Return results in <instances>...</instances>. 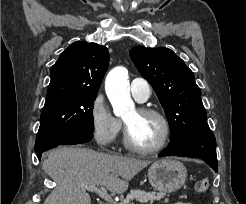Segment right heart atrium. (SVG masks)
<instances>
[{"instance_id": "1", "label": "right heart atrium", "mask_w": 246, "mask_h": 204, "mask_svg": "<svg viewBox=\"0 0 246 204\" xmlns=\"http://www.w3.org/2000/svg\"><path fill=\"white\" fill-rule=\"evenodd\" d=\"M94 140L102 147L112 145L122 130V122L111 111L102 94H97L89 110Z\"/></svg>"}]
</instances>
